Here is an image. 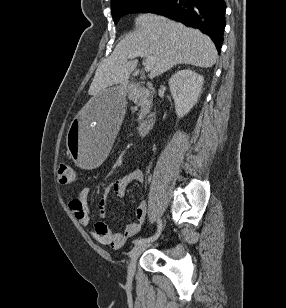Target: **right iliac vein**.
Returning a JSON list of instances; mask_svg holds the SVG:
<instances>
[{"instance_id":"right-iliac-vein-1","label":"right iliac vein","mask_w":286,"mask_h":308,"mask_svg":"<svg viewBox=\"0 0 286 308\" xmlns=\"http://www.w3.org/2000/svg\"><path fill=\"white\" fill-rule=\"evenodd\" d=\"M153 241L136 245L130 252V259L128 263V275L133 276L136 269V261L140 254L151 245Z\"/></svg>"}]
</instances>
